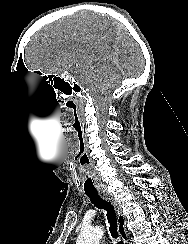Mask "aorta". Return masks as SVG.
<instances>
[{
    "label": "aorta",
    "instance_id": "aorta-1",
    "mask_svg": "<svg viewBox=\"0 0 188 244\" xmlns=\"http://www.w3.org/2000/svg\"><path fill=\"white\" fill-rule=\"evenodd\" d=\"M104 229L99 226L82 228L76 244H99Z\"/></svg>",
    "mask_w": 188,
    "mask_h": 244
}]
</instances>
